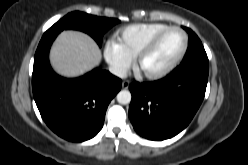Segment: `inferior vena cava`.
<instances>
[{
	"mask_svg": "<svg viewBox=\"0 0 248 165\" xmlns=\"http://www.w3.org/2000/svg\"><path fill=\"white\" fill-rule=\"evenodd\" d=\"M110 73L119 77V78H126L127 77V70L120 66H110L109 67Z\"/></svg>",
	"mask_w": 248,
	"mask_h": 165,
	"instance_id": "obj_1",
	"label": "inferior vena cava"
}]
</instances>
